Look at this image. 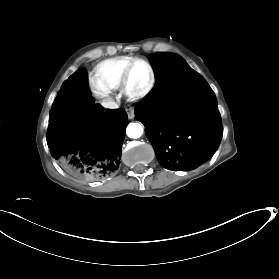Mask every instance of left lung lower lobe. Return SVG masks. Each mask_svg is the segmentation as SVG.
<instances>
[{
	"label": "left lung lower lobe",
	"instance_id": "obj_1",
	"mask_svg": "<svg viewBox=\"0 0 279 279\" xmlns=\"http://www.w3.org/2000/svg\"><path fill=\"white\" fill-rule=\"evenodd\" d=\"M157 160L166 169L192 170L212 157L223 127L215 95L198 73L169 96L135 104Z\"/></svg>",
	"mask_w": 279,
	"mask_h": 279
}]
</instances>
